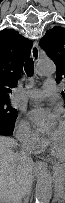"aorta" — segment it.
Returning a JSON list of instances; mask_svg holds the SVG:
<instances>
[{
	"label": "aorta",
	"mask_w": 65,
	"mask_h": 203,
	"mask_svg": "<svg viewBox=\"0 0 65 203\" xmlns=\"http://www.w3.org/2000/svg\"><path fill=\"white\" fill-rule=\"evenodd\" d=\"M56 66L54 62L49 59H41L38 62L37 74L39 76H51L55 74ZM52 183L53 178L48 170L43 171L36 183L35 188V203H50L52 197Z\"/></svg>",
	"instance_id": "obj_1"
}]
</instances>
